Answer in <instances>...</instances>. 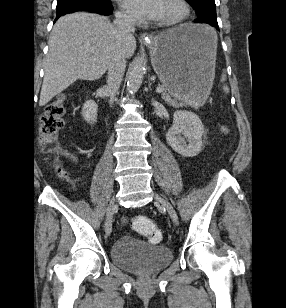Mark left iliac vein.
<instances>
[{"mask_svg": "<svg viewBox=\"0 0 286 308\" xmlns=\"http://www.w3.org/2000/svg\"><path fill=\"white\" fill-rule=\"evenodd\" d=\"M154 198L157 202H159L162 205L163 208H165L167 210V212L169 213L172 221L176 225H178V217H177V214H176L174 208L172 207V205L167 200H165L164 198L160 197L157 194H154Z\"/></svg>", "mask_w": 286, "mask_h": 308, "instance_id": "obj_1", "label": "left iliac vein"}]
</instances>
